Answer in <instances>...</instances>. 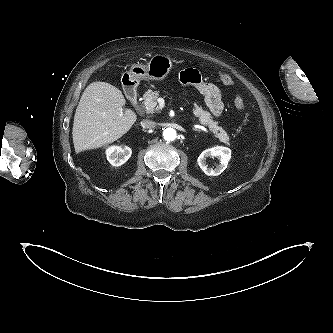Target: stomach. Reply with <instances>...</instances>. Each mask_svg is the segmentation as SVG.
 <instances>
[{"instance_id": "stomach-1", "label": "stomach", "mask_w": 333, "mask_h": 333, "mask_svg": "<svg viewBox=\"0 0 333 333\" xmlns=\"http://www.w3.org/2000/svg\"><path fill=\"white\" fill-rule=\"evenodd\" d=\"M172 69V60L170 57L156 54L151 57L147 64H133L124 76L132 82V85H138L141 80L161 81L165 79Z\"/></svg>"}]
</instances>
